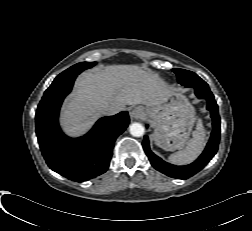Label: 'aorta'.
<instances>
[{"label": "aorta", "mask_w": 252, "mask_h": 231, "mask_svg": "<svg viewBox=\"0 0 252 231\" xmlns=\"http://www.w3.org/2000/svg\"><path fill=\"white\" fill-rule=\"evenodd\" d=\"M129 132L134 137H141L144 135L145 129L142 124L135 122L129 126Z\"/></svg>", "instance_id": "aorta-1"}]
</instances>
